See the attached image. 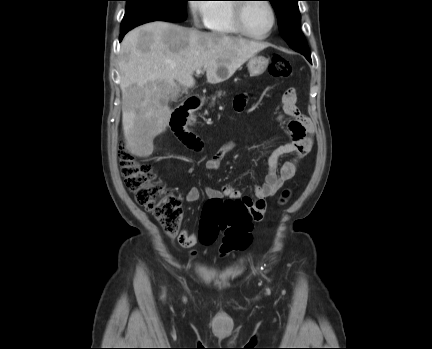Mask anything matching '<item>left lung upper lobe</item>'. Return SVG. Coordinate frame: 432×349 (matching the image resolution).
Returning <instances> with one entry per match:
<instances>
[{
    "label": "left lung upper lobe",
    "instance_id": "1",
    "mask_svg": "<svg viewBox=\"0 0 432 349\" xmlns=\"http://www.w3.org/2000/svg\"><path fill=\"white\" fill-rule=\"evenodd\" d=\"M278 17L281 36L288 45L299 52H309L307 42L300 30L301 16L297 2L299 0H268Z\"/></svg>",
    "mask_w": 432,
    "mask_h": 349
}]
</instances>
